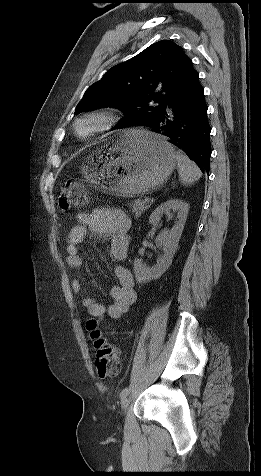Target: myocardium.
<instances>
[{"label": "myocardium", "mask_w": 261, "mask_h": 476, "mask_svg": "<svg viewBox=\"0 0 261 476\" xmlns=\"http://www.w3.org/2000/svg\"><path fill=\"white\" fill-rule=\"evenodd\" d=\"M118 122L119 117L112 109H97L76 118L73 123V132L77 138L86 140L111 129Z\"/></svg>", "instance_id": "obj_1"}]
</instances>
